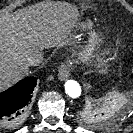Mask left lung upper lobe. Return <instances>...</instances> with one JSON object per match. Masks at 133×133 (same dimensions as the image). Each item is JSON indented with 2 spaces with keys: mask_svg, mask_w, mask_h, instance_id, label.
Listing matches in <instances>:
<instances>
[{
  "mask_svg": "<svg viewBox=\"0 0 133 133\" xmlns=\"http://www.w3.org/2000/svg\"><path fill=\"white\" fill-rule=\"evenodd\" d=\"M133 78V74H132ZM110 110L102 109V110H95L90 108L89 106L84 107L82 112L79 114V122L86 126H100L102 125L100 120L107 121L109 116H111ZM104 112V113H101Z\"/></svg>",
  "mask_w": 133,
  "mask_h": 133,
  "instance_id": "left-lung-upper-lobe-1",
  "label": "left lung upper lobe"
}]
</instances>
